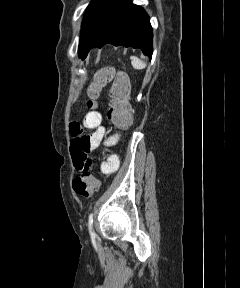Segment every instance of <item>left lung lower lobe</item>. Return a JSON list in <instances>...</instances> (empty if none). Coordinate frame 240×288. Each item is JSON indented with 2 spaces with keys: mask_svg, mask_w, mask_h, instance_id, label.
<instances>
[{
  "mask_svg": "<svg viewBox=\"0 0 240 288\" xmlns=\"http://www.w3.org/2000/svg\"><path fill=\"white\" fill-rule=\"evenodd\" d=\"M152 37L149 17L141 7L132 4L131 0H110L104 15L79 50V57L85 59L93 47L101 48L111 43L140 48L151 58Z\"/></svg>",
  "mask_w": 240,
  "mask_h": 288,
  "instance_id": "0a47b994",
  "label": "left lung lower lobe"
}]
</instances>
